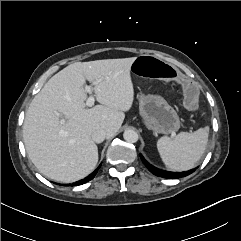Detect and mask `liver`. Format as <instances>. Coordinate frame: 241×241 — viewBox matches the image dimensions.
Returning <instances> with one entry per match:
<instances>
[{"mask_svg":"<svg viewBox=\"0 0 241 241\" xmlns=\"http://www.w3.org/2000/svg\"><path fill=\"white\" fill-rule=\"evenodd\" d=\"M136 57L73 63L53 77L34 97L23 124L28 157L41 174L71 183L88 176L98 162L92 140L97 129L113 137L133 104L130 68ZM86 80L99 81L94 93L100 103L87 108Z\"/></svg>","mask_w":241,"mask_h":241,"instance_id":"liver-1","label":"liver"}]
</instances>
